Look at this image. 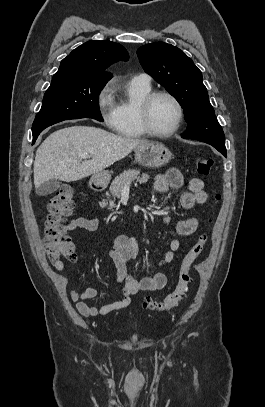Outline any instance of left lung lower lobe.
I'll use <instances>...</instances> for the list:
<instances>
[{"label":"left lung lower lobe","mask_w":265,"mask_h":407,"mask_svg":"<svg viewBox=\"0 0 265 407\" xmlns=\"http://www.w3.org/2000/svg\"><path fill=\"white\" fill-rule=\"evenodd\" d=\"M219 152H221L225 157L227 156V153L224 151V150H222V149H220V148H218V147H215Z\"/></svg>","instance_id":"1"}]
</instances>
